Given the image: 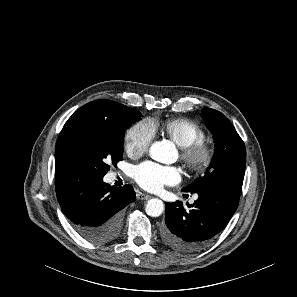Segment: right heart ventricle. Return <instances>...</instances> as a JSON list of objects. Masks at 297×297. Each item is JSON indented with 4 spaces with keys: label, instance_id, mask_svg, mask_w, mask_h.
<instances>
[{
    "label": "right heart ventricle",
    "instance_id": "right-heart-ventricle-1",
    "mask_svg": "<svg viewBox=\"0 0 297 297\" xmlns=\"http://www.w3.org/2000/svg\"><path fill=\"white\" fill-rule=\"evenodd\" d=\"M153 133L160 132L163 136L172 140L179 147L187 146L206 138L205 129L188 118H173L162 122H149Z\"/></svg>",
    "mask_w": 297,
    "mask_h": 297
}]
</instances>
